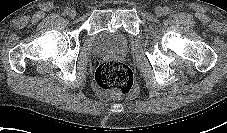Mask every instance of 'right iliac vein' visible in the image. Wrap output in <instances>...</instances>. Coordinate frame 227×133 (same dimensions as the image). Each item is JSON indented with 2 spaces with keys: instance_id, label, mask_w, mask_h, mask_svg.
Here are the masks:
<instances>
[{
  "instance_id": "63e3f726",
  "label": "right iliac vein",
  "mask_w": 227,
  "mask_h": 133,
  "mask_svg": "<svg viewBox=\"0 0 227 133\" xmlns=\"http://www.w3.org/2000/svg\"><path fill=\"white\" fill-rule=\"evenodd\" d=\"M69 16L71 17V18H74L75 16H76V11L75 10H70V12H69Z\"/></svg>"
}]
</instances>
